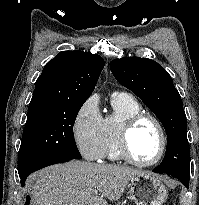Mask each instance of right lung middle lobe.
<instances>
[{
	"mask_svg": "<svg viewBox=\"0 0 199 205\" xmlns=\"http://www.w3.org/2000/svg\"><path fill=\"white\" fill-rule=\"evenodd\" d=\"M84 102H65L28 112L19 150V175L50 159L82 158L73 126Z\"/></svg>",
	"mask_w": 199,
	"mask_h": 205,
	"instance_id": "1",
	"label": "right lung middle lobe"
}]
</instances>
